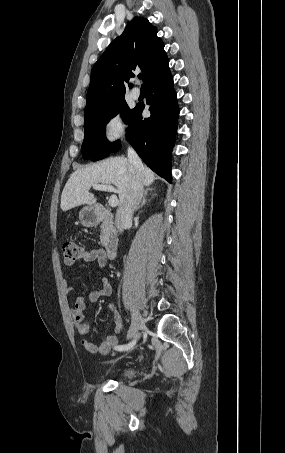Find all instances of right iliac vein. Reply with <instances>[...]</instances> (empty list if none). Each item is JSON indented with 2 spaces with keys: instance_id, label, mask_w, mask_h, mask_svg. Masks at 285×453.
<instances>
[{
  "instance_id": "63e3f726",
  "label": "right iliac vein",
  "mask_w": 285,
  "mask_h": 453,
  "mask_svg": "<svg viewBox=\"0 0 285 453\" xmlns=\"http://www.w3.org/2000/svg\"><path fill=\"white\" fill-rule=\"evenodd\" d=\"M143 326V318L140 314V312L136 309H132V323L130 326V329L128 331L127 338L130 339L134 337L137 332L142 328Z\"/></svg>"
}]
</instances>
